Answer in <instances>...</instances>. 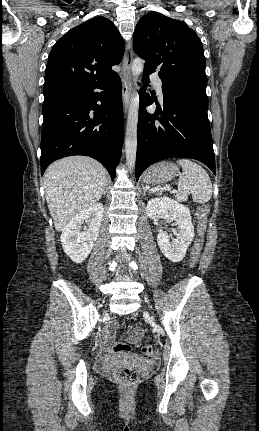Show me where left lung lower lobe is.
I'll use <instances>...</instances> for the list:
<instances>
[{
    "label": "left lung lower lobe",
    "mask_w": 259,
    "mask_h": 431,
    "mask_svg": "<svg viewBox=\"0 0 259 431\" xmlns=\"http://www.w3.org/2000/svg\"><path fill=\"white\" fill-rule=\"evenodd\" d=\"M150 73L143 72L142 82L146 85H149ZM162 91L163 109L157 105L155 114L151 115L145 107L153 100L140 89L144 103L139 105L136 180L148 166L171 157L199 160L216 174L206 93L163 83Z\"/></svg>",
    "instance_id": "left-lung-lower-lobe-1"
}]
</instances>
